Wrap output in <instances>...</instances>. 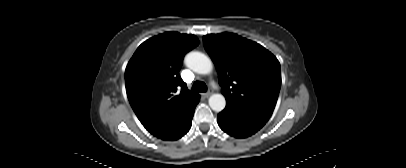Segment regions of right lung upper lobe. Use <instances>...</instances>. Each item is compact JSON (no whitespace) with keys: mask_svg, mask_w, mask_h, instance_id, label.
I'll list each match as a JSON object with an SVG mask.
<instances>
[{"mask_svg":"<svg viewBox=\"0 0 406 168\" xmlns=\"http://www.w3.org/2000/svg\"><path fill=\"white\" fill-rule=\"evenodd\" d=\"M198 44L194 35L166 32L143 42L126 67L129 102L143 126L158 138L163 139L200 98L179 75L184 55Z\"/></svg>","mask_w":406,"mask_h":168,"instance_id":"obj_1","label":"right lung upper lobe"}]
</instances>
